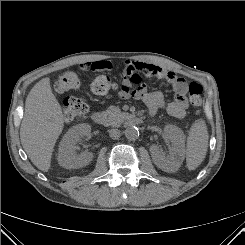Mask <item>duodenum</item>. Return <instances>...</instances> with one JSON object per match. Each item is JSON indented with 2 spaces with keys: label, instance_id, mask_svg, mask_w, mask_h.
I'll return each mask as SVG.
<instances>
[{
  "label": "duodenum",
  "instance_id": "410a0bca",
  "mask_svg": "<svg viewBox=\"0 0 245 245\" xmlns=\"http://www.w3.org/2000/svg\"><path fill=\"white\" fill-rule=\"evenodd\" d=\"M91 119L94 123L99 124V125H103L105 123V116L103 113L101 112H93L91 115ZM142 118L138 117V116H130L127 119V122L130 125H140L142 123Z\"/></svg>",
  "mask_w": 245,
  "mask_h": 245
}]
</instances>
